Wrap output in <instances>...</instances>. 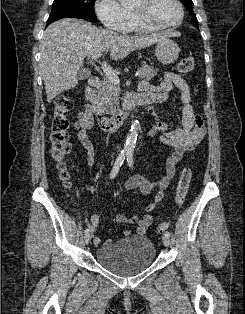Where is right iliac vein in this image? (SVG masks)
<instances>
[{
    "label": "right iliac vein",
    "instance_id": "obj_1",
    "mask_svg": "<svg viewBox=\"0 0 245 314\" xmlns=\"http://www.w3.org/2000/svg\"><path fill=\"white\" fill-rule=\"evenodd\" d=\"M90 238H91V235H90V234L85 235V238H84L85 244H88V243H89Z\"/></svg>",
    "mask_w": 245,
    "mask_h": 314
}]
</instances>
